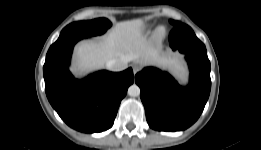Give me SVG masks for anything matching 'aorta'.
I'll return each mask as SVG.
<instances>
[{
	"label": "aorta",
	"mask_w": 261,
	"mask_h": 150,
	"mask_svg": "<svg viewBox=\"0 0 261 150\" xmlns=\"http://www.w3.org/2000/svg\"><path fill=\"white\" fill-rule=\"evenodd\" d=\"M128 95L131 97H137L140 95V88L138 85L133 84L128 88Z\"/></svg>",
	"instance_id": "762f6f07"
}]
</instances>
